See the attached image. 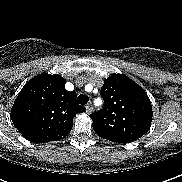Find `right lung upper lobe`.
Here are the masks:
<instances>
[{"mask_svg": "<svg viewBox=\"0 0 182 182\" xmlns=\"http://www.w3.org/2000/svg\"><path fill=\"white\" fill-rule=\"evenodd\" d=\"M59 75L42 73L29 80L11 109V120L23 137L43 143L65 138L77 113L85 107L76 103V93L65 89Z\"/></svg>", "mask_w": 182, "mask_h": 182, "instance_id": "obj_1", "label": "right lung upper lobe"}]
</instances>
